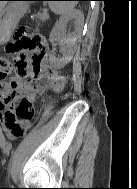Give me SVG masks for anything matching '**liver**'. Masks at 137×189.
<instances>
[{"label": "liver", "mask_w": 137, "mask_h": 189, "mask_svg": "<svg viewBox=\"0 0 137 189\" xmlns=\"http://www.w3.org/2000/svg\"><path fill=\"white\" fill-rule=\"evenodd\" d=\"M6 6L5 1H0V12L3 10V8Z\"/></svg>", "instance_id": "6515ba94"}]
</instances>
